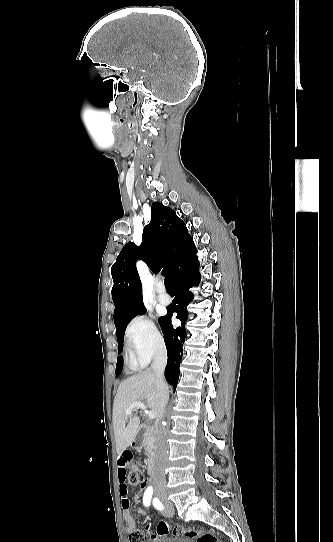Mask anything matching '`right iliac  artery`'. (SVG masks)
Listing matches in <instances>:
<instances>
[{
    "label": "right iliac artery",
    "mask_w": 333,
    "mask_h": 542,
    "mask_svg": "<svg viewBox=\"0 0 333 542\" xmlns=\"http://www.w3.org/2000/svg\"><path fill=\"white\" fill-rule=\"evenodd\" d=\"M152 493H153V489L152 487H148L144 493V496H143V503L146 507H148L150 505V502H151V498H152ZM156 500H158L157 498H155Z\"/></svg>",
    "instance_id": "1"
}]
</instances>
